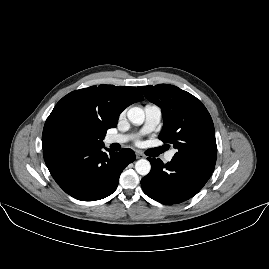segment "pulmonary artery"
<instances>
[{
    "instance_id": "1",
    "label": "pulmonary artery",
    "mask_w": 269,
    "mask_h": 269,
    "mask_svg": "<svg viewBox=\"0 0 269 269\" xmlns=\"http://www.w3.org/2000/svg\"><path fill=\"white\" fill-rule=\"evenodd\" d=\"M144 112H145V119L141 133L146 134L156 130L162 119V110L159 106L156 105H146L144 108ZM128 138H129L128 135H113L107 137L105 139V143L107 145L114 143H124L128 140ZM174 153H175L174 149L169 151L164 156V161L170 162L174 156Z\"/></svg>"
}]
</instances>
